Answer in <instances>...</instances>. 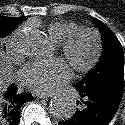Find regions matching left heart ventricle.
I'll list each match as a JSON object with an SVG mask.
<instances>
[{
  "mask_svg": "<svg viewBox=\"0 0 125 125\" xmlns=\"http://www.w3.org/2000/svg\"><path fill=\"white\" fill-rule=\"evenodd\" d=\"M93 42L89 36H84L79 39L75 56L79 60H86L92 51Z\"/></svg>",
  "mask_w": 125,
  "mask_h": 125,
  "instance_id": "obj_1",
  "label": "left heart ventricle"
}]
</instances>
